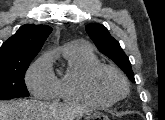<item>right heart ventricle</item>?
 <instances>
[{
	"instance_id": "obj_1",
	"label": "right heart ventricle",
	"mask_w": 165,
	"mask_h": 120,
	"mask_svg": "<svg viewBox=\"0 0 165 120\" xmlns=\"http://www.w3.org/2000/svg\"><path fill=\"white\" fill-rule=\"evenodd\" d=\"M65 68L56 78L53 98L68 104L109 106L92 97L86 89L88 72L100 63L98 57L87 47L67 46L62 52Z\"/></svg>"
}]
</instances>
